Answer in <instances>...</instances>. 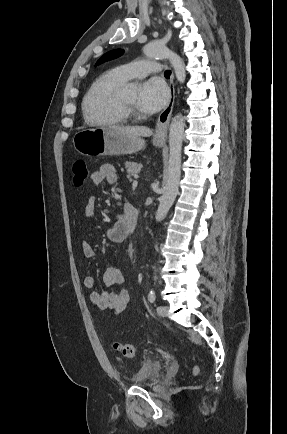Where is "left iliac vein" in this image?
<instances>
[{"instance_id": "left-iliac-vein-1", "label": "left iliac vein", "mask_w": 287, "mask_h": 434, "mask_svg": "<svg viewBox=\"0 0 287 434\" xmlns=\"http://www.w3.org/2000/svg\"><path fill=\"white\" fill-rule=\"evenodd\" d=\"M157 313L161 317H166L168 315V307L166 305L158 306Z\"/></svg>"}]
</instances>
